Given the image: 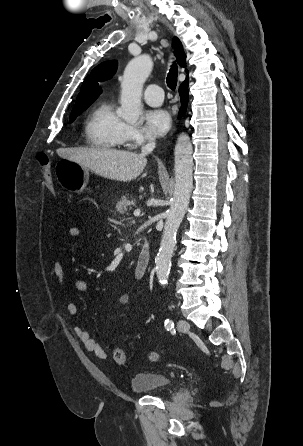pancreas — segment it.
Masks as SVG:
<instances>
[{"label":"pancreas","mask_w":303,"mask_h":446,"mask_svg":"<svg viewBox=\"0 0 303 446\" xmlns=\"http://www.w3.org/2000/svg\"><path fill=\"white\" fill-rule=\"evenodd\" d=\"M134 205L135 202L133 200H128L126 196H122L116 204V211L121 215H125L128 214V211H130Z\"/></svg>","instance_id":"pancreas-1"}]
</instances>
